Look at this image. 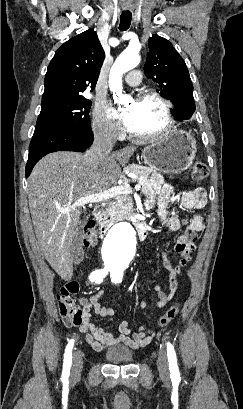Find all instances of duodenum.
<instances>
[{"instance_id": "410a0bca", "label": "duodenum", "mask_w": 243, "mask_h": 409, "mask_svg": "<svg viewBox=\"0 0 243 409\" xmlns=\"http://www.w3.org/2000/svg\"><path fill=\"white\" fill-rule=\"evenodd\" d=\"M109 204L102 202L97 204L93 209L94 221L99 226V235L103 237L110 227L114 224V220L107 216L106 212ZM135 227L140 240H144L147 236V228L142 222H136Z\"/></svg>"}]
</instances>
